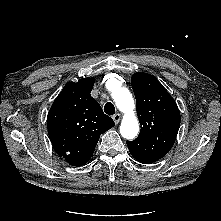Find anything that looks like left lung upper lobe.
<instances>
[{
	"label": "left lung upper lobe",
	"instance_id": "5c2ea615",
	"mask_svg": "<svg viewBox=\"0 0 221 221\" xmlns=\"http://www.w3.org/2000/svg\"><path fill=\"white\" fill-rule=\"evenodd\" d=\"M131 84L142 127L139 136L127 141V146L138 162L149 164L172 148L180 126V112L174 99L153 75L136 73Z\"/></svg>",
	"mask_w": 221,
	"mask_h": 221
}]
</instances>
